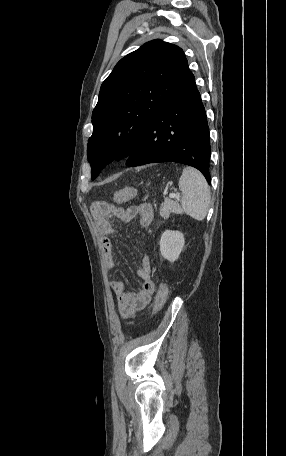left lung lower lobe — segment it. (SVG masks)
<instances>
[{"mask_svg": "<svg viewBox=\"0 0 286 456\" xmlns=\"http://www.w3.org/2000/svg\"><path fill=\"white\" fill-rule=\"evenodd\" d=\"M210 155L206 112L189 71L141 134L126 164L178 162L197 168L210 184Z\"/></svg>", "mask_w": 286, "mask_h": 456, "instance_id": "1", "label": "left lung lower lobe"}]
</instances>
